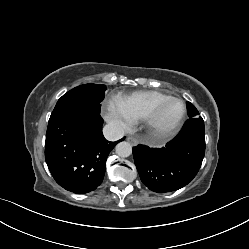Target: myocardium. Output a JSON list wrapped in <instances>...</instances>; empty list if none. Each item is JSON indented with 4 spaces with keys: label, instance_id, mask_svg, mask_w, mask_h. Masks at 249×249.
<instances>
[{
    "label": "myocardium",
    "instance_id": "f54148a6",
    "mask_svg": "<svg viewBox=\"0 0 249 249\" xmlns=\"http://www.w3.org/2000/svg\"><path fill=\"white\" fill-rule=\"evenodd\" d=\"M171 102H178L181 104V113L174 122V124L167 128H160L157 124L158 119L162 111L166 108L168 104ZM186 115V105L184 101L180 98L176 97H170L160 103H158L156 106H154L144 117L145 126L149 132V134L154 137L155 139H167L174 134L177 133V131L180 129L183 120Z\"/></svg>",
    "mask_w": 249,
    "mask_h": 249
}]
</instances>
